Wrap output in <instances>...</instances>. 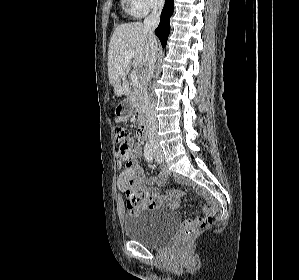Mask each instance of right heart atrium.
<instances>
[{
	"mask_svg": "<svg viewBox=\"0 0 299 280\" xmlns=\"http://www.w3.org/2000/svg\"><path fill=\"white\" fill-rule=\"evenodd\" d=\"M134 8L141 15L160 7L164 0H131Z\"/></svg>",
	"mask_w": 299,
	"mask_h": 280,
	"instance_id": "d8ad5b80",
	"label": "right heart atrium"
}]
</instances>
